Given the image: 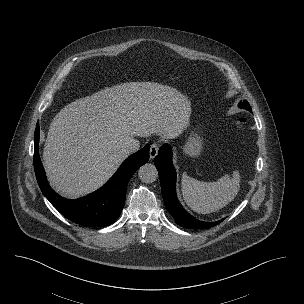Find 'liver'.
<instances>
[{
    "label": "liver",
    "instance_id": "liver-1",
    "mask_svg": "<svg viewBox=\"0 0 304 304\" xmlns=\"http://www.w3.org/2000/svg\"><path fill=\"white\" fill-rule=\"evenodd\" d=\"M190 106L177 89L155 82L122 83L66 105L51 122L43 151L51 186L71 198L98 189L128 157L127 141L179 136Z\"/></svg>",
    "mask_w": 304,
    "mask_h": 304
}]
</instances>
